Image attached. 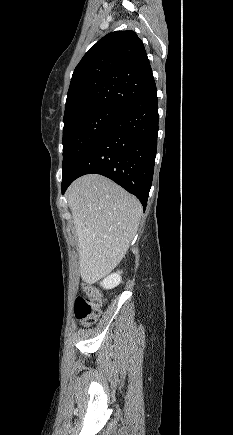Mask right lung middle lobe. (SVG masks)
<instances>
[{
  "label": "right lung middle lobe",
  "instance_id": "1",
  "mask_svg": "<svg viewBox=\"0 0 233 435\" xmlns=\"http://www.w3.org/2000/svg\"><path fill=\"white\" fill-rule=\"evenodd\" d=\"M120 112L119 109L101 107L64 120L62 179Z\"/></svg>",
  "mask_w": 233,
  "mask_h": 435
}]
</instances>
